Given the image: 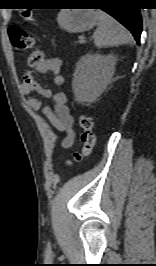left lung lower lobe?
I'll return each mask as SVG.
<instances>
[{
	"instance_id": "left-lung-lower-lobe-1",
	"label": "left lung lower lobe",
	"mask_w": 156,
	"mask_h": 266,
	"mask_svg": "<svg viewBox=\"0 0 156 266\" xmlns=\"http://www.w3.org/2000/svg\"><path fill=\"white\" fill-rule=\"evenodd\" d=\"M70 3L88 4L95 6H105L102 8L106 13L110 14L122 25H124L134 36L136 42L140 43V34L142 32V19L140 8L134 7L130 0H104L103 2H94L93 0L84 2L85 0H70ZM87 1V0H86Z\"/></svg>"
}]
</instances>
